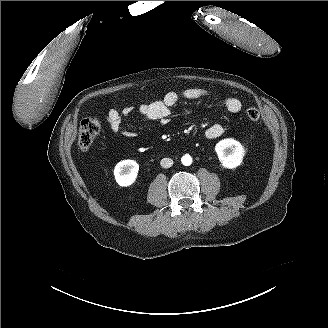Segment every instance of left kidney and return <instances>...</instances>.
Instances as JSON below:
<instances>
[{"mask_svg":"<svg viewBox=\"0 0 328 328\" xmlns=\"http://www.w3.org/2000/svg\"><path fill=\"white\" fill-rule=\"evenodd\" d=\"M215 151L220 162L226 168H236L242 162L245 154L243 146L232 138L218 142Z\"/></svg>","mask_w":328,"mask_h":328,"instance_id":"5707ae66","label":"left kidney"}]
</instances>
